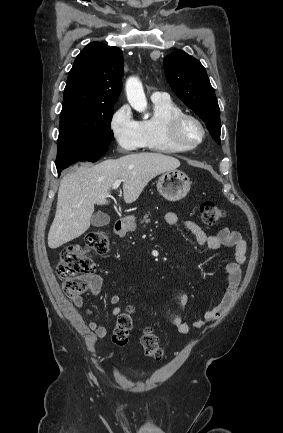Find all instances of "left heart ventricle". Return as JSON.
<instances>
[{"label":"left heart ventricle","instance_id":"left-heart-ventricle-1","mask_svg":"<svg viewBox=\"0 0 283 433\" xmlns=\"http://www.w3.org/2000/svg\"><path fill=\"white\" fill-rule=\"evenodd\" d=\"M179 137L185 144H192L201 137V131L195 123L189 121L182 126Z\"/></svg>","mask_w":283,"mask_h":433}]
</instances>
